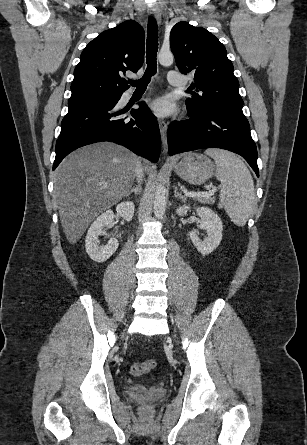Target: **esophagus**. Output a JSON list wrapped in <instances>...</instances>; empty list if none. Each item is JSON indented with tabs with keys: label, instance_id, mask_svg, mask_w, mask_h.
<instances>
[{
	"label": "esophagus",
	"instance_id": "34e87169",
	"mask_svg": "<svg viewBox=\"0 0 307 445\" xmlns=\"http://www.w3.org/2000/svg\"><path fill=\"white\" fill-rule=\"evenodd\" d=\"M148 11L150 13H153L155 20L160 25L161 24V12L157 7H149ZM160 133H161V140L163 144V153H167V124L165 123V120L162 118L158 119Z\"/></svg>",
	"mask_w": 307,
	"mask_h": 445
}]
</instances>
